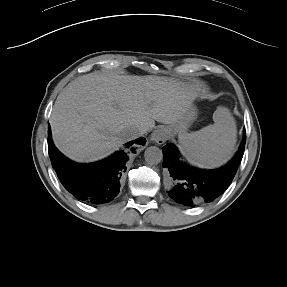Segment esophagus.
Here are the masks:
<instances>
[{
	"label": "esophagus",
	"mask_w": 287,
	"mask_h": 287,
	"mask_svg": "<svg viewBox=\"0 0 287 287\" xmlns=\"http://www.w3.org/2000/svg\"><path fill=\"white\" fill-rule=\"evenodd\" d=\"M167 138V131L164 128L156 129L151 136V140L159 145L165 143Z\"/></svg>",
	"instance_id": "34e87169"
}]
</instances>
